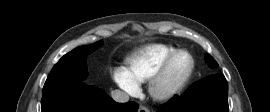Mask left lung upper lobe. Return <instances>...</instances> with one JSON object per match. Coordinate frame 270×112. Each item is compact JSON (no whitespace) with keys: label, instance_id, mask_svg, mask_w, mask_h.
<instances>
[{"label":"left lung upper lobe","instance_id":"5c2ea615","mask_svg":"<svg viewBox=\"0 0 270 112\" xmlns=\"http://www.w3.org/2000/svg\"><path fill=\"white\" fill-rule=\"evenodd\" d=\"M205 58H206V61L208 62V65L211 68H217L218 67L217 62L209 54H206Z\"/></svg>","mask_w":270,"mask_h":112}]
</instances>
